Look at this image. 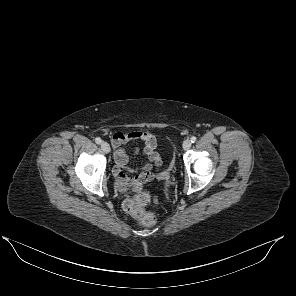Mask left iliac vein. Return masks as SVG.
Returning <instances> with one entry per match:
<instances>
[{"label": "left iliac vein", "mask_w": 296, "mask_h": 296, "mask_svg": "<svg viewBox=\"0 0 296 296\" xmlns=\"http://www.w3.org/2000/svg\"><path fill=\"white\" fill-rule=\"evenodd\" d=\"M191 147V141L189 139L184 140L183 142V149L188 150Z\"/></svg>", "instance_id": "obj_1"}]
</instances>
